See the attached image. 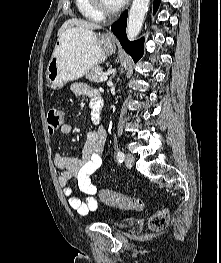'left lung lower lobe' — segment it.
Instances as JSON below:
<instances>
[{
  "label": "left lung lower lobe",
  "instance_id": "0a47b994",
  "mask_svg": "<svg viewBox=\"0 0 221 263\" xmlns=\"http://www.w3.org/2000/svg\"><path fill=\"white\" fill-rule=\"evenodd\" d=\"M160 0H154L153 11H157ZM127 25V11H125L122 17L111 26L112 32L119 39L122 47L129 53L135 62H137L143 55V41L129 42L126 36Z\"/></svg>",
  "mask_w": 221,
  "mask_h": 263
}]
</instances>
